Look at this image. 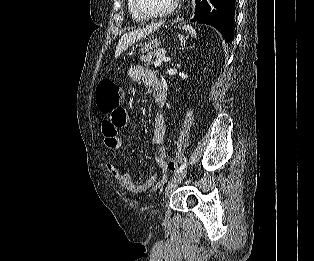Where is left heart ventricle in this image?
I'll use <instances>...</instances> for the list:
<instances>
[{
	"label": "left heart ventricle",
	"mask_w": 314,
	"mask_h": 261,
	"mask_svg": "<svg viewBox=\"0 0 314 261\" xmlns=\"http://www.w3.org/2000/svg\"><path fill=\"white\" fill-rule=\"evenodd\" d=\"M143 9L150 12L162 11L170 6L173 0H139Z\"/></svg>",
	"instance_id": "obj_1"
}]
</instances>
